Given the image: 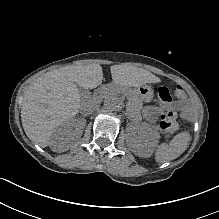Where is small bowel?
<instances>
[{"label": "small bowel", "mask_w": 219, "mask_h": 219, "mask_svg": "<svg viewBox=\"0 0 219 219\" xmlns=\"http://www.w3.org/2000/svg\"><path fill=\"white\" fill-rule=\"evenodd\" d=\"M159 105L147 106L144 109V116L150 122H155L158 114L162 110H179L182 116L190 119L195 114L193 104L186 98L174 101L170 91L166 87H159L157 90Z\"/></svg>", "instance_id": "1"}]
</instances>
